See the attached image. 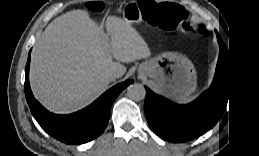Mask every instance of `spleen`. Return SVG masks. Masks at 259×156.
Returning <instances> with one entry per match:
<instances>
[{"instance_id": "obj_1", "label": "spleen", "mask_w": 259, "mask_h": 156, "mask_svg": "<svg viewBox=\"0 0 259 156\" xmlns=\"http://www.w3.org/2000/svg\"><path fill=\"white\" fill-rule=\"evenodd\" d=\"M197 96H198V94H196L194 96H191V97H185V98L181 99L179 102L180 103H188V102L193 101Z\"/></svg>"}]
</instances>
